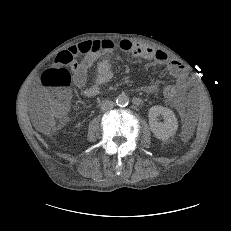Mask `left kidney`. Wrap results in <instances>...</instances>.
<instances>
[{"instance_id": "5707ae66", "label": "left kidney", "mask_w": 231, "mask_h": 231, "mask_svg": "<svg viewBox=\"0 0 231 231\" xmlns=\"http://www.w3.org/2000/svg\"><path fill=\"white\" fill-rule=\"evenodd\" d=\"M162 115L164 123L158 121V116ZM149 126L156 138L166 140L173 136L178 129V121L174 112L163 106H152L149 109Z\"/></svg>"}]
</instances>
